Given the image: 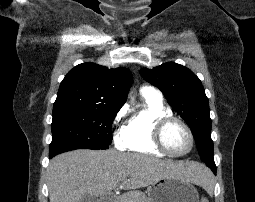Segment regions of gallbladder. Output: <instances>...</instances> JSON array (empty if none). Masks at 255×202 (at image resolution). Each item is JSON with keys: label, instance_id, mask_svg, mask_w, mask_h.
Returning a JSON list of instances; mask_svg holds the SVG:
<instances>
[{"label": "gallbladder", "instance_id": "obj_1", "mask_svg": "<svg viewBox=\"0 0 255 202\" xmlns=\"http://www.w3.org/2000/svg\"><path fill=\"white\" fill-rule=\"evenodd\" d=\"M79 202H98V197L95 195H84Z\"/></svg>", "mask_w": 255, "mask_h": 202}]
</instances>
